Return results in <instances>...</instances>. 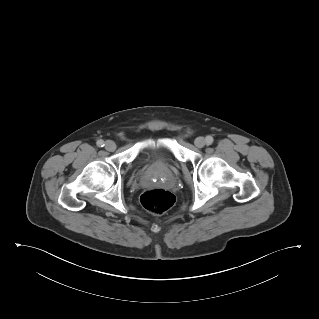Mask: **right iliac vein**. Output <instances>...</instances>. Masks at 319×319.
<instances>
[{
	"instance_id": "1",
	"label": "right iliac vein",
	"mask_w": 319,
	"mask_h": 319,
	"mask_svg": "<svg viewBox=\"0 0 319 319\" xmlns=\"http://www.w3.org/2000/svg\"><path fill=\"white\" fill-rule=\"evenodd\" d=\"M105 148L108 151H114L116 149V144H115L114 141L108 140V141L105 142Z\"/></svg>"
}]
</instances>
